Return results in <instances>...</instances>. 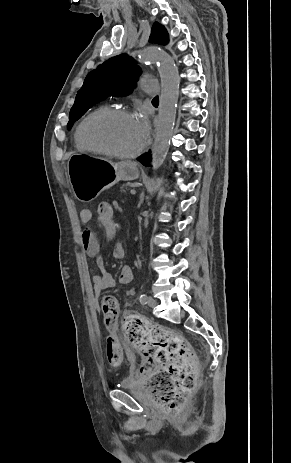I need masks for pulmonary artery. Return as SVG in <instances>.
<instances>
[{
	"instance_id": "obj_1",
	"label": "pulmonary artery",
	"mask_w": 291,
	"mask_h": 463,
	"mask_svg": "<svg viewBox=\"0 0 291 463\" xmlns=\"http://www.w3.org/2000/svg\"><path fill=\"white\" fill-rule=\"evenodd\" d=\"M140 87L150 96H156L159 94V86L151 76L145 75L140 79Z\"/></svg>"
}]
</instances>
